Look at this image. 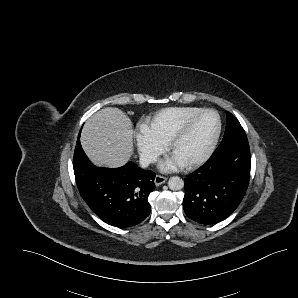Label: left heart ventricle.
<instances>
[{"label": "left heart ventricle", "mask_w": 298, "mask_h": 298, "mask_svg": "<svg viewBox=\"0 0 298 298\" xmlns=\"http://www.w3.org/2000/svg\"><path fill=\"white\" fill-rule=\"evenodd\" d=\"M216 129L215 118L211 114L198 117L173 146L170 156L187 164L206 147Z\"/></svg>", "instance_id": "b2bd125f"}]
</instances>
